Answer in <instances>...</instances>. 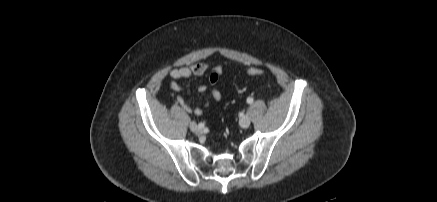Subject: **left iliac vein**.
<instances>
[{
	"label": "left iliac vein",
	"mask_w": 437,
	"mask_h": 202,
	"mask_svg": "<svg viewBox=\"0 0 437 202\" xmlns=\"http://www.w3.org/2000/svg\"><path fill=\"white\" fill-rule=\"evenodd\" d=\"M239 125L242 128H248L250 125V118L248 116H243L240 120H239Z\"/></svg>",
	"instance_id": "1"
}]
</instances>
